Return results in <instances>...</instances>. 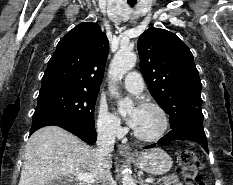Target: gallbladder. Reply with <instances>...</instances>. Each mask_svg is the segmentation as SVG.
I'll list each match as a JSON object with an SVG mask.
<instances>
[{
  "label": "gallbladder",
  "mask_w": 233,
  "mask_h": 185,
  "mask_svg": "<svg viewBox=\"0 0 233 185\" xmlns=\"http://www.w3.org/2000/svg\"><path fill=\"white\" fill-rule=\"evenodd\" d=\"M50 185H73V184L67 183V182L62 181V180H60V179H55V180H53V181L51 182Z\"/></svg>",
  "instance_id": "1"
}]
</instances>
